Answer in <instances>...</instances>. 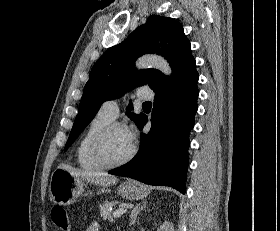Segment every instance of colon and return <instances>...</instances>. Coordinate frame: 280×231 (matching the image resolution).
<instances>
[{
	"mask_svg": "<svg viewBox=\"0 0 280 231\" xmlns=\"http://www.w3.org/2000/svg\"><path fill=\"white\" fill-rule=\"evenodd\" d=\"M51 220H55L59 231H72V225H66L67 215H64V208H51Z\"/></svg>",
	"mask_w": 280,
	"mask_h": 231,
	"instance_id": "obj_1",
	"label": "colon"
}]
</instances>
